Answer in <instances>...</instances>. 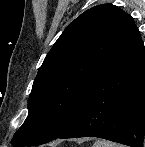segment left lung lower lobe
Here are the masks:
<instances>
[{
	"label": "left lung lower lobe",
	"mask_w": 145,
	"mask_h": 147,
	"mask_svg": "<svg viewBox=\"0 0 145 147\" xmlns=\"http://www.w3.org/2000/svg\"><path fill=\"white\" fill-rule=\"evenodd\" d=\"M144 133L145 48L127 15L79 113L57 138L93 136L143 147Z\"/></svg>",
	"instance_id": "0a47b994"
}]
</instances>
